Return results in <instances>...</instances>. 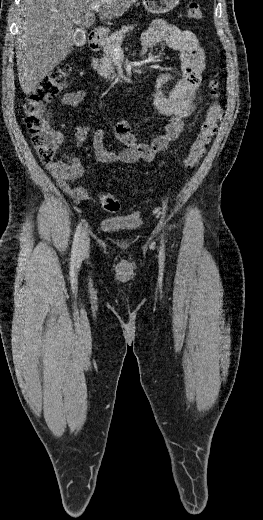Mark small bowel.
<instances>
[{
  "label": "small bowel",
  "instance_id": "c3829d8e",
  "mask_svg": "<svg viewBox=\"0 0 263 520\" xmlns=\"http://www.w3.org/2000/svg\"><path fill=\"white\" fill-rule=\"evenodd\" d=\"M166 45L178 51L182 59L181 77L170 88L166 85L174 78L172 73L160 74L155 82L154 106L159 113L168 118L163 132L150 142H139L133 132L130 120H122L115 124L113 132L116 139L124 145L118 152L106 147L107 133L97 130L92 139L95 156L100 163H135L150 162L156 155L163 153L169 145L177 140L184 130V119L189 117L201 99L199 87L202 72L205 68V53L195 34L163 20L155 21L142 34V50L148 52L154 48ZM86 97L83 90L67 92L61 103L64 106L76 107ZM89 128L79 124L75 130V143L80 147L86 140ZM59 143L62 134L55 133ZM46 168L59 187L77 201L90 199L88 189L75 185L83 173L80 160L72 154H64L62 160L49 162Z\"/></svg>",
  "mask_w": 263,
  "mask_h": 520
}]
</instances>
